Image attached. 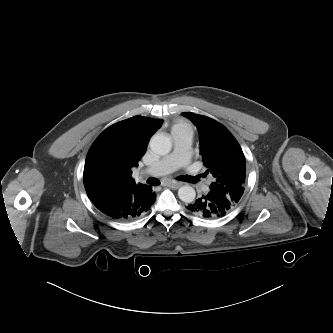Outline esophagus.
I'll list each match as a JSON object with an SVG mask.
<instances>
[{"mask_svg": "<svg viewBox=\"0 0 333 333\" xmlns=\"http://www.w3.org/2000/svg\"><path fill=\"white\" fill-rule=\"evenodd\" d=\"M164 185L173 189H178L181 186V183L176 181H166Z\"/></svg>", "mask_w": 333, "mask_h": 333, "instance_id": "esophagus-1", "label": "esophagus"}]
</instances>
